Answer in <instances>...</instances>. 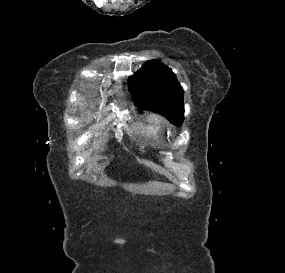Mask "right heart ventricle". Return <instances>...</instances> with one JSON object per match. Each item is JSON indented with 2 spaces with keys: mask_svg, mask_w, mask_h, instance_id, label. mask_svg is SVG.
<instances>
[{
  "mask_svg": "<svg viewBox=\"0 0 285 273\" xmlns=\"http://www.w3.org/2000/svg\"><path fill=\"white\" fill-rule=\"evenodd\" d=\"M144 129L146 136L156 141H160L165 135L164 126L156 117L149 118Z\"/></svg>",
  "mask_w": 285,
  "mask_h": 273,
  "instance_id": "right-heart-ventricle-1",
  "label": "right heart ventricle"
}]
</instances>
